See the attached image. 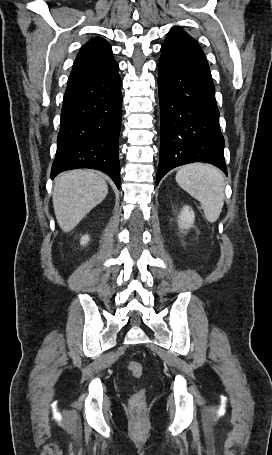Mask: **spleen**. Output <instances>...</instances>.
<instances>
[{"mask_svg":"<svg viewBox=\"0 0 272 455\" xmlns=\"http://www.w3.org/2000/svg\"><path fill=\"white\" fill-rule=\"evenodd\" d=\"M176 182L201 203L209 222L218 219L225 198L224 177L219 169L203 163L185 165L177 172Z\"/></svg>","mask_w":272,"mask_h":455,"instance_id":"1","label":"spleen"}]
</instances>
